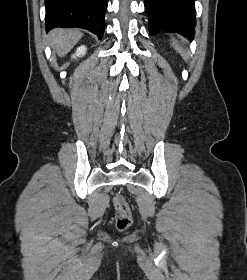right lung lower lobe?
Returning a JSON list of instances; mask_svg holds the SVG:
<instances>
[{"label":"right lung lower lobe","mask_w":247,"mask_h":280,"mask_svg":"<svg viewBox=\"0 0 247 280\" xmlns=\"http://www.w3.org/2000/svg\"><path fill=\"white\" fill-rule=\"evenodd\" d=\"M107 0H45V28L48 32L55 27H80L102 39Z\"/></svg>","instance_id":"98d812e1"}]
</instances>
